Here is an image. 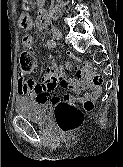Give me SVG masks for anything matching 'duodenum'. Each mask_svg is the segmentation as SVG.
I'll return each instance as SVG.
<instances>
[{"label": "duodenum", "mask_w": 123, "mask_h": 167, "mask_svg": "<svg viewBox=\"0 0 123 167\" xmlns=\"http://www.w3.org/2000/svg\"><path fill=\"white\" fill-rule=\"evenodd\" d=\"M42 1V0H39ZM38 18H39V24L41 26H46L48 22V14L47 11L43 8H40L38 11Z\"/></svg>", "instance_id": "410a0bca"}]
</instances>
